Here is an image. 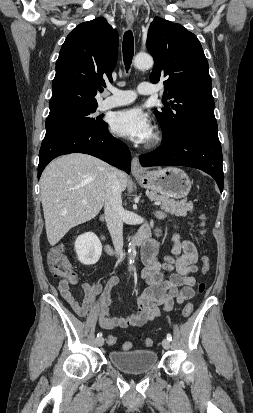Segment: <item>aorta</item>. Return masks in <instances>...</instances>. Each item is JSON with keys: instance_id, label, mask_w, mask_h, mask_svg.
Wrapping results in <instances>:
<instances>
[{"instance_id": "1", "label": "aorta", "mask_w": 253, "mask_h": 413, "mask_svg": "<svg viewBox=\"0 0 253 413\" xmlns=\"http://www.w3.org/2000/svg\"><path fill=\"white\" fill-rule=\"evenodd\" d=\"M154 64L153 58L148 54H138L134 58V66L138 69H148L151 68ZM135 245L134 242L129 243V265L132 268V264L134 263V254H135Z\"/></svg>"}]
</instances>
